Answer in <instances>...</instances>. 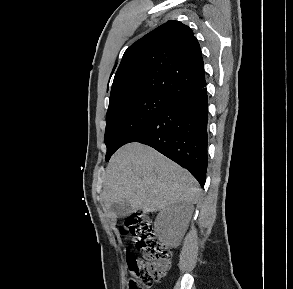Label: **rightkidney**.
Returning a JSON list of instances; mask_svg holds the SVG:
<instances>
[{
    "instance_id": "1",
    "label": "right kidney",
    "mask_w": 293,
    "mask_h": 289,
    "mask_svg": "<svg viewBox=\"0 0 293 289\" xmlns=\"http://www.w3.org/2000/svg\"><path fill=\"white\" fill-rule=\"evenodd\" d=\"M191 208L175 203L164 208L156 217L155 228L168 246H176L182 240L190 219Z\"/></svg>"
}]
</instances>
